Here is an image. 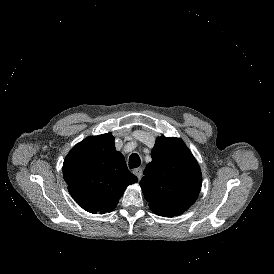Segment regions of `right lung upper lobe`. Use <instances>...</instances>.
<instances>
[{
    "mask_svg": "<svg viewBox=\"0 0 274 274\" xmlns=\"http://www.w3.org/2000/svg\"><path fill=\"white\" fill-rule=\"evenodd\" d=\"M63 176L73 199L93 214L113 211L126 187L138 181L110 133L78 143L64 160Z\"/></svg>",
    "mask_w": 274,
    "mask_h": 274,
    "instance_id": "cb5924a9",
    "label": "right lung upper lobe"
}]
</instances>
